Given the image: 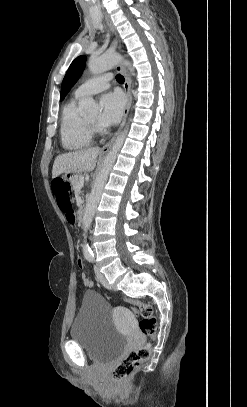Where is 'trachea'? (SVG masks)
<instances>
[{
  "mask_svg": "<svg viewBox=\"0 0 247 407\" xmlns=\"http://www.w3.org/2000/svg\"><path fill=\"white\" fill-rule=\"evenodd\" d=\"M116 80H117L119 83H124V77H123L121 74H117V75H116Z\"/></svg>",
  "mask_w": 247,
  "mask_h": 407,
  "instance_id": "obj_1",
  "label": "trachea"
}]
</instances>
